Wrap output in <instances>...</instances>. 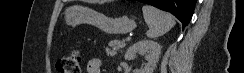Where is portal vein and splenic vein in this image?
<instances>
[{"label":"portal vein and splenic vein","instance_id":"obj_1","mask_svg":"<svg viewBox=\"0 0 244 73\" xmlns=\"http://www.w3.org/2000/svg\"><path fill=\"white\" fill-rule=\"evenodd\" d=\"M125 41H130V38H129V37H128V38H126V39L124 40V42H125Z\"/></svg>","mask_w":244,"mask_h":73}]
</instances>
